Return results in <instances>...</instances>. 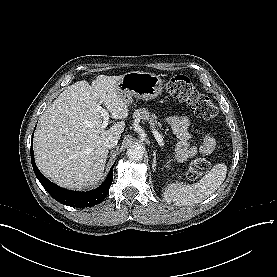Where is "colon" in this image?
I'll return each mask as SVG.
<instances>
[{
    "mask_svg": "<svg viewBox=\"0 0 277 277\" xmlns=\"http://www.w3.org/2000/svg\"><path fill=\"white\" fill-rule=\"evenodd\" d=\"M166 93L170 97L185 101L204 120L217 117L218 109L215 104L205 95L201 94L187 76H177L166 84ZM210 169V163L204 158H195L188 173L190 180H196Z\"/></svg>",
    "mask_w": 277,
    "mask_h": 277,
    "instance_id": "1",
    "label": "colon"
}]
</instances>
